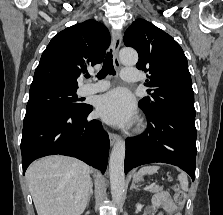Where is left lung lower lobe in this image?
Instances as JSON below:
<instances>
[{"mask_svg": "<svg viewBox=\"0 0 223 215\" xmlns=\"http://www.w3.org/2000/svg\"><path fill=\"white\" fill-rule=\"evenodd\" d=\"M145 114L147 130L126 139L125 173L143 164L162 162L180 167L194 181L197 153L195 116L171 111Z\"/></svg>", "mask_w": 223, "mask_h": 215, "instance_id": "left-lung-lower-lobe-1", "label": "left lung lower lobe"}]
</instances>
